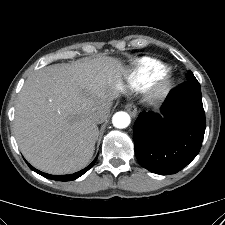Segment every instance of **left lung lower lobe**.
Wrapping results in <instances>:
<instances>
[{
  "mask_svg": "<svg viewBox=\"0 0 225 225\" xmlns=\"http://www.w3.org/2000/svg\"><path fill=\"white\" fill-rule=\"evenodd\" d=\"M162 112L164 118L153 112L137 117L135 154L145 169L169 175L182 170L200 151L206 127L200 84L186 82L171 91Z\"/></svg>",
  "mask_w": 225,
  "mask_h": 225,
  "instance_id": "obj_1",
  "label": "left lung lower lobe"
}]
</instances>
